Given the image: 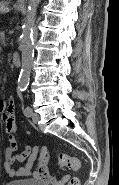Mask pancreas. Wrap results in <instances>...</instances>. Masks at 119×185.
Instances as JSON below:
<instances>
[{"label":"pancreas","instance_id":"pancreas-1","mask_svg":"<svg viewBox=\"0 0 119 185\" xmlns=\"http://www.w3.org/2000/svg\"><path fill=\"white\" fill-rule=\"evenodd\" d=\"M0 42L3 46H6L7 43H6V37H5V34L4 32H0Z\"/></svg>","mask_w":119,"mask_h":185}]
</instances>
